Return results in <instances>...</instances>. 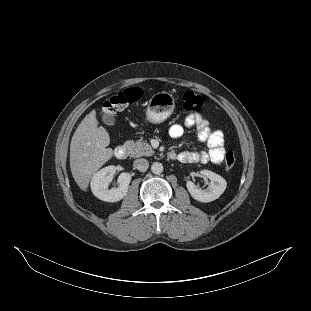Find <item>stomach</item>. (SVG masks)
Returning a JSON list of instances; mask_svg holds the SVG:
<instances>
[{
    "mask_svg": "<svg viewBox=\"0 0 311 311\" xmlns=\"http://www.w3.org/2000/svg\"><path fill=\"white\" fill-rule=\"evenodd\" d=\"M175 99L166 91L154 94L148 102L146 120L153 124H160L167 120L174 112Z\"/></svg>",
    "mask_w": 311,
    "mask_h": 311,
    "instance_id": "1",
    "label": "stomach"
}]
</instances>
